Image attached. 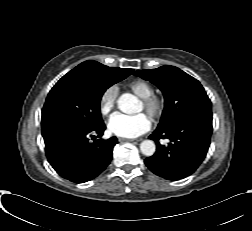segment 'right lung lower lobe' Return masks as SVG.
I'll list each match as a JSON object with an SVG mask.
<instances>
[{"label":"right lung lower lobe","instance_id":"1","mask_svg":"<svg viewBox=\"0 0 252 231\" xmlns=\"http://www.w3.org/2000/svg\"><path fill=\"white\" fill-rule=\"evenodd\" d=\"M106 126L91 130L63 129L44 139L46 156L63 178L75 183L87 182L98 176L110 163L116 137L90 143L88 137H101Z\"/></svg>","mask_w":252,"mask_h":231}]
</instances>
